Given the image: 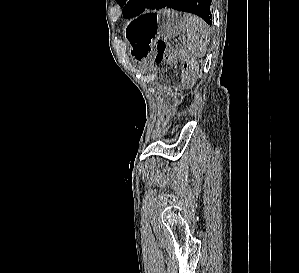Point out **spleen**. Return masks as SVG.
Masks as SVG:
<instances>
[{
    "label": "spleen",
    "instance_id": "spleen-1",
    "mask_svg": "<svg viewBox=\"0 0 299 273\" xmlns=\"http://www.w3.org/2000/svg\"><path fill=\"white\" fill-rule=\"evenodd\" d=\"M181 28L185 33L184 47L193 57L205 56L208 46L209 29L205 21L199 17L184 14L181 19Z\"/></svg>",
    "mask_w": 299,
    "mask_h": 273
}]
</instances>
